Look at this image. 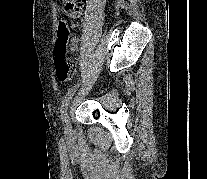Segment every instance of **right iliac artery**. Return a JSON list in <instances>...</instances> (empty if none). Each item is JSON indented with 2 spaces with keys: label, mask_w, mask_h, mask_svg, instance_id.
I'll return each instance as SVG.
<instances>
[{
  "label": "right iliac artery",
  "mask_w": 207,
  "mask_h": 179,
  "mask_svg": "<svg viewBox=\"0 0 207 179\" xmlns=\"http://www.w3.org/2000/svg\"><path fill=\"white\" fill-rule=\"evenodd\" d=\"M74 91H75V88L71 89L68 94L66 95V97L64 98L63 102H62V105H61V109H60V112H61V118L63 121H67L68 120V115H67V107H68V104H69V101L71 99V97L73 96L74 94Z\"/></svg>",
  "instance_id": "obj_1"
}]
</instances>
